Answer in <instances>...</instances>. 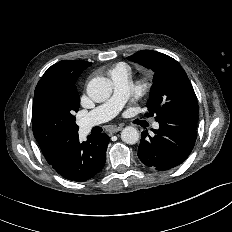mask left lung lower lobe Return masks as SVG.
Listing matches in <instances>:
<instances>
[{"instance_id": "obj_1", "label": "left lung lower lobe", "mask_w": 232, "mask_h": 232, "mask_svg": "<svg viewBox=\"0 0 232 232\" xmlns=\"http://www.w3.org/2000/svg\"><path fill=\"white\" fill-rule=\"evenodd\" d=\"M159 129L142 133L138 157L146 166L166 171L184 162L196 141L198 114H170L159 120Z\"/></svg>"}]
</instances>
